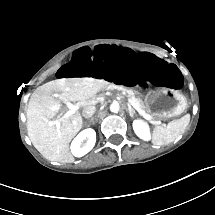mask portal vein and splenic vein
<instances>
[{
    "mask_svg": "<svg viewBox=\"0 0 215 215\" xmlns=\"http://www.w3.org/2000/svg\"><path fill=\"white\" fill-rule=\"evenodd\" d=\"M130 104L138 111L143 113V116H145L144 112L141 111L139 105L135 102L133 99H129ZM69 110L65 112L60 118L52 120L50 123L55 124L57 127L60 126V124L66 120L69 119L74 113H76L80 109L79 104H68Z\"/></svg>",
    "mask_w": 215,
    "mask_h": 215,
    "instance_id": "1",
    "label": "portal vein and splenic vein"
}]
</instances>
